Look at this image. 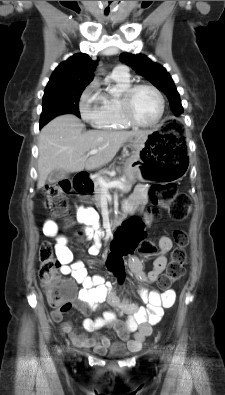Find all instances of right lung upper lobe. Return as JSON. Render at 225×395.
Listing matches in <instances>:
<instances>
[{
    "mask_svg": "<svg viewBox=\"0 0 225 395\" xmlns=\"http://www.w3.org/2000/svg\"><path fill=\"white\" fill-rule=\"evenodd\" d=\"M97 61L87 54L78 53L62 62L53 72L47 87L88 85L93 80Z\"/></svg>",
    "mask_w": 225,
    "mask_h": 395,
    "instance_id": "obj_1",
    "label": "right lung upper lobe"
}]
</instances>
